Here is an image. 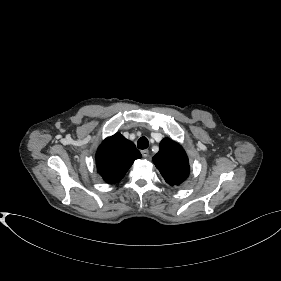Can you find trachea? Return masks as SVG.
<instances>
[{
  "instance_id": "3493384b",
  "label": "trachea",
  "mask_w": 281,
  "mask_h": 281,
  "mask_svg": "<svg viewBox=\"0 0 281 281\" xmlns=\"http://www.w3.org/2000/svg\"><path fill=\"white\" fill-rule=\"evenodd\" d=\"M149 146L148 139L146 137L139 138L137 142V147L139 149H146Z\"/></svg>"
}]
</instances>
